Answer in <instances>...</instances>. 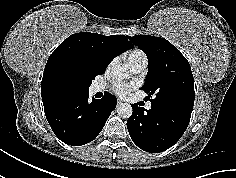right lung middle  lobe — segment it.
<instances>
[{
	"label": "right lung middle lobe",
	"mask_w": 236,
	"mask_h": 178,
	"mask_svg": "<svg viewBox=\"0 0 236 178\" xmlns=\"http://www.w3.org/2000/svg\"><path fill=\"white\" fill-rule=\"evenodd\" d=\"M102 73L83 63H70L59 69L52 79V92L56 97L88 92L92 80Z\"/></svg>",
	"instance_id": "1"
}]
</instances>
